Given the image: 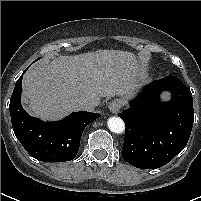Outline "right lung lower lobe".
I'll return each instance as SVG.
<instances>
[{"label": "right lung lower lobe", "mask_w": 201, "mask_h": 201, "mask_svg": "<svg viewBox=\"0 0 201 201\" xmlns=\"http://www.w3.org/2000/svg\"><path fill=\"white\" fill-rule=\"evenodd\" d=\"M23 74L16 81L9 105L12 127L17 139L29 155L37 160L65 162L74 159L84 128L101 114L74 112L56 122H44L30 116L23 110L20 102Z\"/></svg>", "instance_id": "1"}]
</instances>
